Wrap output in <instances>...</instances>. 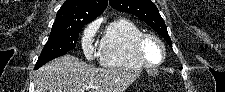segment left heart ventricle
<instances>
[{"label":"left heart ventricle","instance_id":"left-heart-ventricle-1","mask_svg":"<svg viewBox=\"0 0 225 92\" xmlns=\"http://www.w3.org/2000/svg\"><path fill=\"white\" fill-rule=\"evenodd\" d=\"M143 52L146 59L150 62H158L161 58L160 47L151 40L145 42Z\"/></svg>","mask_w":225,"mask_h":92}]
</instances>
